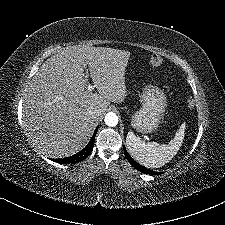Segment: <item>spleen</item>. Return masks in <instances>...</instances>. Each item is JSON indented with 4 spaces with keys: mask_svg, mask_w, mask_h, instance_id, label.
Instances as JSON below:
<instances>
[{
    "mask_svg": "<svg viewBox=\"0 0 225 225\" xmlns=\"http://www.w3.org/2000/svg\"><path fill=\"white\" fill-rule=\"evenodd\" d=\"M184 133L179 130L168 144L144 142L133 132H128L126 143L130 155L147 168H159L165 165L177 153Z\"/></svg>",
    "mask_w": 225,
    "mask_h": 225,
    "instance_id": "obj_1",
    "label": "spleen"
}]
</instances>
